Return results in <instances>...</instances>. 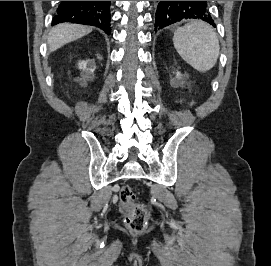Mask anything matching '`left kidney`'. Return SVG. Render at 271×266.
<instances>
[{"label":"left kidney","mask_w":271,"mask_h":266,"mask_svg":"<svg viewBox=\"0 0 271 266\" xmlns=\"http://www.w3.org/2000/svg\"><path fill=\"white\" fill-rule=\"evenodd\" d=\"M177 78H181V75L179 73L177 74Z\"/></svg>","instance_id":"5707ae66"}]
</instances>
